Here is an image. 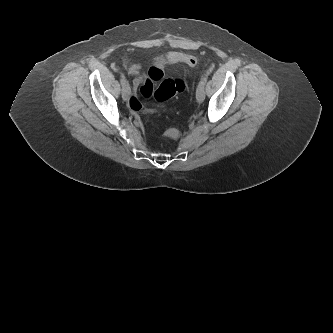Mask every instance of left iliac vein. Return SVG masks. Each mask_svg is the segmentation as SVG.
Wrapping results in <instances>:
<instances>
[{"mask_svg":"<svg viewBox=\"0 0 333 333\" xmlns=\"http://www.w3.org/2000/svg\"><path fill=\"white\" fill-rule=\"evenodd\" d=\"M196 99L198 103H202L205 99V90L204 86L198 85V88L196 90Z\"/></svg>","mask_w":333,"mask_h":333,"instance_id":"left-iliac-vein-1","label":"left iliac vein"}]
</instances>
